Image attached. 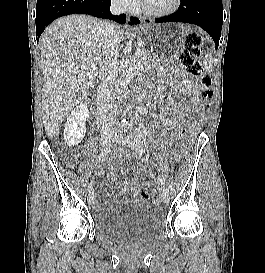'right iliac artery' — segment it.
Segmentation results:
<instances>
[{
    "instance_id": "obj_1",
    "label": "right iliac artery",
    "mask_w": 265,
    "mask_h": 273,
    "mask_svg": "<svg viewBox=\"0 0 265 273\" xmlns=\"http://www.w3.org/2000/svg\"><path fill=\"white\" fill-rule=\"evenodd\" d=\"M109 151H110V150H109L108 148H105V149L98 155V160H99V161L105 160V158H106L107 154L109 153ZM87 190H88L89 193H91V191L93 190V186H92L91 183L88 184Z\"/></svg>"
}]
</instances>
